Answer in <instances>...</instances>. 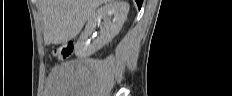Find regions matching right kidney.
<instances>
[{
    "instance_id": "right-kidney-1",
    "label": "right kidney",
    "mask_w": 232,
    "mask_h": 96,
    "mask_svg": "<svg viewBox=\"0 0 232 96\" xmlns=\"http://www.w3.org/2000/svg\"><path fill=\"white\" fill-rule=\"evenodd\" d=\"M129 12L128 3L121 0H109L104 6L95 11L86 24V27L75 45V53L80 58H86L109 43L121 30ZM101 19L104 25L100 36L89 44L88 37L94 32Z\"/></svg>"
}]
</instances>
